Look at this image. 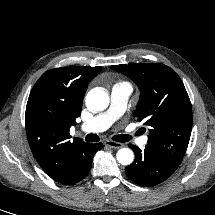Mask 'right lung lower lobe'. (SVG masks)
Segmentation results:
<instances>
[{"label": "right lung lower lobe", "mask_w": 215, "mask_h": 215, "mask_svg": "<svg viewBox=\"0 0 215 215\" xmlns=\"http://www.w3.org/2000/svg\"><path fill=\"white\" fill-rule=\"evenodd\" d=\"M102 147L103 145L101 143L88 145V147L84 150L83 155H81L78 159V170L75 176L67 185L75 184L87 176L91 169L94 154L96 153L97 150H100Z\"/></svg>", "instance_id": "obj_1"}]
</instances>
